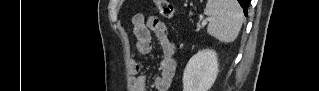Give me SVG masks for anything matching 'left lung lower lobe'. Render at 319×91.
<instances>
[{
    "instance_id": "1",
    "label": "left lung lower lobe",
    "mask_w": 319,
    "mask_h": 91,
    "mask_svg": "<svg viewBox=\"0 0 319 91\" xmlns=\"http://www.w3.org/2000/svg\"><path fill=\"white\" fill-rule=\"evenodd\" d=\"M238 2L240 3L241 7L244 10V14L247 15V9H248V5L250 3V0H238Z\"/></svg>"
}]
</instances>
